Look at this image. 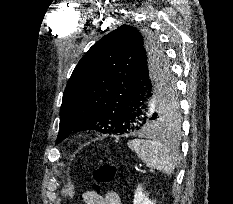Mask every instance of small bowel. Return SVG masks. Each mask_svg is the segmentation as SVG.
Wrapping results in <instances>:
<instances>
[{
  "label": "small bowel",
  "instance_id": "obj_1",
  "mask_svg": "<svg viewBox=\"0 0 233 204\" xmlns=\"http://www.w3.org/2000/svg\"><path fill=\"white\" fill-rule=\"evenodd\" d=\"M81 199L85 204H122L121 198L114 190H109L105 195L92 191L82 193Z\"/></svg>",
  "mask_w": 233,
  "mask_h": 204
}]
</instances>
